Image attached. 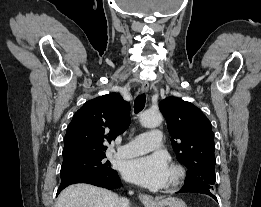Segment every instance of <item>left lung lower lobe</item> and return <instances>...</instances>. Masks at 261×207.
Wrapping results in <instances>:
<instances>
[{
	"instance_id": "obj_1",
	"label": "left lung lower lobe",
	"mask_w": 261,
	"mask_h": 207,
	"mask_svg": "<svg viewBox=\"0 0 261 207\" xmlns=\"http://www.w3.org/2000/svg\"><path fill=\"white\" fill-rule=\"evenodd\" d=\"M178 193H201L211 196L217 201L215 195L212 194L211 188L202 184H185Z\"/></svg>"
}]
</instances>
